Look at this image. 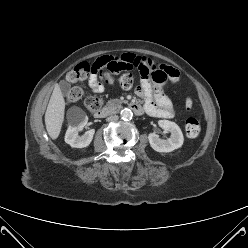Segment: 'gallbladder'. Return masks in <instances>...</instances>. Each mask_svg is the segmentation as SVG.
Returning a JSON list of instances; mask_svg holds the SVG:
<instances>
[{
    "label": "gallbladder",
    "mask_w": 248,
    "mask_h": 248,
    "mask_svg": "<svg viewBox=\"0 0 248 248\" xmlns=\"http://www.w3.org/2000/svg\"><path fill=\"white\" fill-rule=\"evenodd\" d=\"M59 87H60L62 93L67 95L70 91L71 85L66 81H62V82H60Z\"/></svg>",
    "instance_id": "bac80fb5"
}]
</instances>
